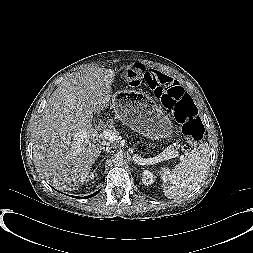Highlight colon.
<instances>
[{
  "label": "colon",
  "instance_id": "obj_1",
  "mask_svg": "<svg viewBox=\"0 0 253 253\" xmlns=\"http://www.w3.org/2000/svg\"><path fill=\"white\" fill-rule=\"evenodd\" d=\"M145 73L146 69L140 64L124 66L120 70L122 79L133 85H140ZM155 97L182 124L183 134L189 142L199 143L202 140L204 125L192 97L181 86L159 88L155 90Z\"/></svg>",
  "mask_w": 253,
  "mask_h": 253
}]
</instances>
